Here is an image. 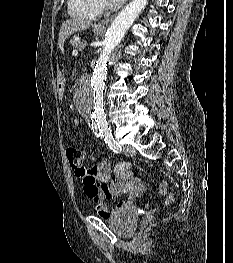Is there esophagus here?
Masks as SVG:
<instances>
[{
    "mask_svg": "<svg viewBox=\"0 0 233 263\" xmlns=\"http://www.w3.org/2000/svg\"><path fill=\"white\" fill-rule=\"evenodd\" d=\"M115 16H116V14H114V15H112V16H110V17H107V18H105V19H103L102 21H100V22L96 25V27H97V28H104L109 22H111V21L114 19Z\"/></svg>",
    "mask_w": 233,
    "mask_h": 263,
    "instance_id": "34e87169",
    "label": "esophagus"
}]
</instances>
